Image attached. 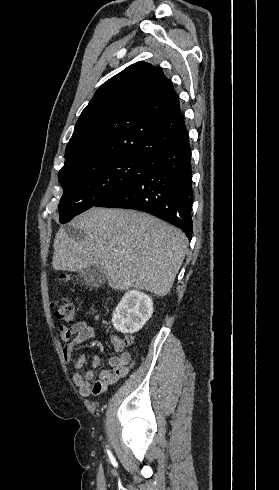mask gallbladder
I'll return each mask as SVG.
<instances>
[{
	"label": "gallbladder",
	"instance_id": "bac80fb5",
	"mask_svg": "<svg viewBox=\"0 0 279 490\" xmlns=\"http://www.w3.org/2000/svg\"><path fill=\"white\" fill-rule=\"evenodd\" d=\"M78 276L82 284L88 288H101L107 280L101 266H87L79 270Z\"/></svg>",
	"mask_w": 279,
	"mask_h": 490
}]
</instances>
